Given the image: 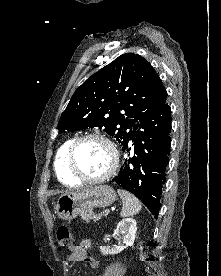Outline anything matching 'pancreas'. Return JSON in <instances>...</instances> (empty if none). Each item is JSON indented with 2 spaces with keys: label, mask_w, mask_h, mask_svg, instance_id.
Returning <instances> with one entry per match:
<instances>
[{
  "label": "pancreas",
  "mask_w": 221,
  "mask_h": 276,
  "mask_svg": "<svg viewBox=\"0 0 221 276\" xmlns=\"http://www.w3.org/2000/svg\"><path fill=\"white\" fill-rule=\"evenodd\" d=\"M102 216H103V214H95L93 212H88V213H84L81 215L82 219L85 220L86 222H89L91 220L96 222V221L100 220Z\"/></svg>",
  "instance_id": "cf45deb5"
}]
</instances>
